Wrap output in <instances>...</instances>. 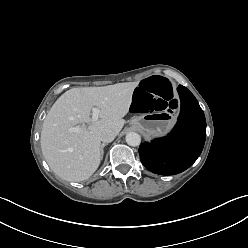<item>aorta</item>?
Masks as SVG:
<instances>
[{
    "instance_id": "1",
    "label": "aorta",
    "mask_w": 248,
    "mask_h": 248,
    "mask_svg": "<svg viewBox=\"0 0 248 248\" xmlns=\"http://www.w3.org/2000/svg\"><path fill=\"white\" fill-rule=\"evenodd\" d=\"M126 142L130 146H138L141 143V137L136 132H129L126 134Z\"/></svg>"
}]
</instances>
